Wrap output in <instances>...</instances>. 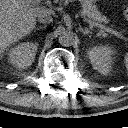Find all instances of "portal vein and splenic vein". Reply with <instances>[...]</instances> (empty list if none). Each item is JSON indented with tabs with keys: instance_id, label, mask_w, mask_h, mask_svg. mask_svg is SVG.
Returning <instances> with one entry per match:
<instances>
[{
	"instance_id": "18ae733b",
	"label": "portal vein and splenic vein",
	"mask_w": 128,
	"mask_h": 128,
	"mask_svg": "<svg viewBox=\"0 0 128 128\" xmlns=\"http://www.w3.org/2000/svg\"><path fill=\"white\" fill-rule=\"evenodd\" d=\"M42 0H26V2H28L31 5H38ZM88 23L94 24L92 23L90 20H86ZM97 25V24H94Z\"/></svg>"
}]
</instances>
